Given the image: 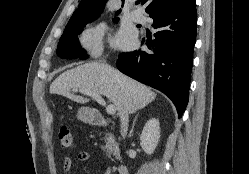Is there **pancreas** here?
Listing matches in <instances>:
<instances>
[{
    "label": "pancreas",
    "instance_id": "cf45deb5",
    "mask_svg": "<svg viewBox=\"0 0 249 174\" xmlns=\"http://www.w3.org/2000/svg\"><path fill=\"white\" fill-rule=\"evenodd\" d=\"M107 141H108V143L104 147V151L106 152V155L109 156L112 153L115 154L117 152V149H118L117 144L114 143L112 146L111 140L107 138Z\"/></svg>",
    "mask_w": 249,
    "mask_h": 174
}]
</instances>
